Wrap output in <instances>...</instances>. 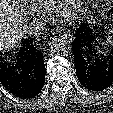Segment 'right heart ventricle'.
<instances>
[{"label": "right heart ventricle", "mask_w": 113, "mask_h": 113, "mask_svg": "<svg viewBox=\"0 0 113 113\" xmlns=\"http://www.w3.org/2000/svg\"><path fill=\"white\" fill-rule=\"evenodd\" d=\"M28 6L35 12L48 13L55 8L60 0H25Z\"/></svg>", "instance_id": "obj_1"}]
</instances>
